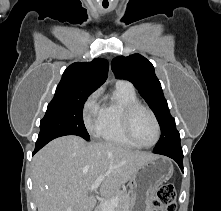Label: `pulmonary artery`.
Segmentation results:
<instances>
[{"mask_svg": "<svg viewBox=\"0 0 221 211\" xmlns=\"http://www.w3.org/2000/svg\"><path fill=\"white\" fill-rule=\"evenodd\" d=\"M116 84H118V85H125V86H130V87H132V85H131L129 82L124 81V80H119V81H117Z\"/></svg>", "mask_w": 221, "mask_h": 211, "instance_id": "e3ab8cb5", "label": "pulmonary artery"}]
</instances>
